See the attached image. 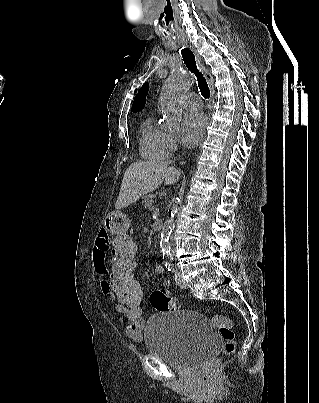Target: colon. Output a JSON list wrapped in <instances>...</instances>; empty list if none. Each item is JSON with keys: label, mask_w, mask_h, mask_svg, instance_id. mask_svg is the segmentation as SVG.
I'll return each instance as SVG.
<instances>
[{"label": "colon", "mask_w": 319, "mask_h": 403, "mask_svg": "<svg viewBox=\"0 0 319 403\" xmlns=\"http://www.w3.org/2000/svg\"><path fill=\"white\" fill-rule=\"evenodd\" d=\"M114 248L112 252L109 272L113 273V300L116 304H124L125 313H144L145 305L141 291H144V282H137L134 278V268L139 267L138 249L139 240L136 234H114ZM151 306L158 312L175 311L178 308L176 301L170 298L162 289L154 290L149 297ZM220 333L224 344L220 357L229 356L235 351L233 330L223 325ZM220 357L214 358L203 373L204 382H209L211 375L218 368Z\"/></svg>", "instance_id": "1"}]
</instances>
